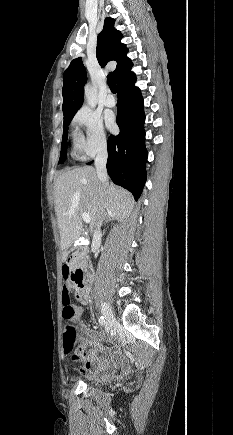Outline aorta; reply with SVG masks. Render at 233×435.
I'll use <instances>...</instances> for the list:
<instances>
[{"instance_id": "762f6f07", "label": "aorta", "mask_w": 233, "mask_h": 435, "mask_svg": "<svg viewBox=\"0 0 233 435\" xmlns=\"http://www.w3.org/2000/svg\"><path fill=\"white\" fill-rule=\"evenodd\" d=\"M84 95L87 104L94 108L97 105V90L91 85H86L84 88Z\"/></svg>"}]
</instances>
